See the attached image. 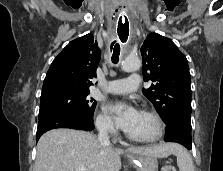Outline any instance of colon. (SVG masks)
I'll return each mask as SVG.
<instances>
[{
  "label": "colon",
  "mask_w": 223,
  "mask_h": 171,
  "mask_svg": "<svg viewBox=\"0 0 223 171\" xmlns=\"http://www.w3.org/2000/svg\"><path fill=\"white\" fill-rule=\"evenodd\" d=\"M162 171H177V169L172 165H166L162 168Z\"/></svg>",
  "instance_id": "obj_1"
}]
</instances>
